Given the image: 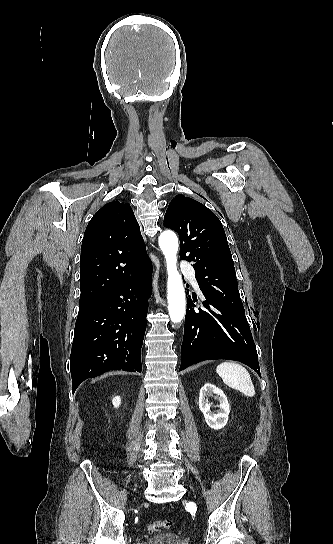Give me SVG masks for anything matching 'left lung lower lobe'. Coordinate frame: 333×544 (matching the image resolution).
<instances>
[{
	"label": "left lung lower lobe",
	"mask_w": 333,
	"mask_h": 544,
	"mask_svg": "<svg viewBox=\"0 0 333 544\" xmlns=\"http://www.w3.org/2000/svg\"><path fill=\"white\" fill-rule=\"evenodd\" d=\"M202 293V308H194L197 297L187 298L179 371L204 360L228 359L248 365L261 377L246 316Z\"/></svg>",
	"instance_id": "left-lung-lower-lobe-1"
}]
</instances>
